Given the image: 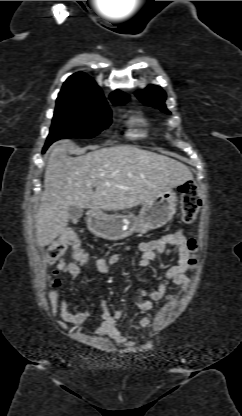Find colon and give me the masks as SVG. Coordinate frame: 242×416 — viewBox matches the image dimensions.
<instances>
[{"instance_id":"obj_1","label":"colon","mask_w":242,"mask_h":416,"mask_svg":"<svg viewBox=\"0 0 242 416\" xmlns=\"http://www.w3.org/2000/svg\"><path fill=\"white\" fill-rule=\"evenodd\" d=\"M201 205L197 185L193 181H187L181 186V221L184 224H191L195 221L196 215ZM189 251L188 266L195 270L198 266L199 245L196 237H190L187 241ZM70 253L71 257L77 262H83L88 254L82 246L79 238L70 230H65L49 246L46 253L48 264L59 263L62 258ZM52 287L57 288L59 281H52Z\"/></svg>"}]
</instances>
